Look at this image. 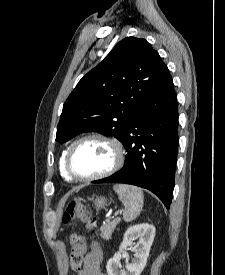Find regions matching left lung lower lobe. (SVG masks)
I'll list each match as a JSON object with an SVG mask.
<instances>
[{
    "label": "left lung lower lobe",
    "instance_id": "0a47b994",
    "mask_svg": "<svg viewBox=\"0 0 225 275\" xmlns=\"http://www.w3.org/2000/svg\"><path fill=\"white\" fill-rule=\"evenodd\" d=\"M125 164L93 183L119 182L146 188L169 208L178 150L177 96L169 75L129 124L122 140Z\"/></svg>",
    "mask_w": 225,
    "mask_h": 275
}]
</instances>
